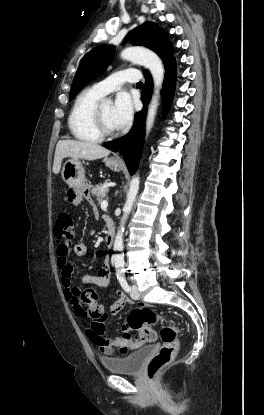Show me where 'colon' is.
<instances>
[{
    "mask_svg": "<svg viewBox=\"0 0 264 415\" xmlns=\"http://www.w3.org/2000/svg\"><path fill=\"white\" fill-rule=\"evenodd\" d=\"M54 235L56 241L65 248L72 243L74 238L73 222L68 212H62L57 219ZM81 305L85 308L86 318L90 321L92 331L95 333L94 340H101V333L104 330L106 313L97 304V294L94 290H86L81 296ZM164 320L167 324L160 331V338L163 343L159 352L150 360L147 366V375L150 380L154 381L160 372L167 367L179 348V332L175 324L169 322L161 314L157 313L152 307L142 305L133 311L127 324L129 327L138 331L139 341L152 342L156 340V332L150 327V324ZM104 340V339H103ZM117 340L123 344H128L132 340V335L128 330H123ZM138 342V341H137Z\"/></svg>",
    "mask_w": 264,
    "mask_h": 415,
    "instance_id": "1",
    "label": "colon"
}]
</instances>
